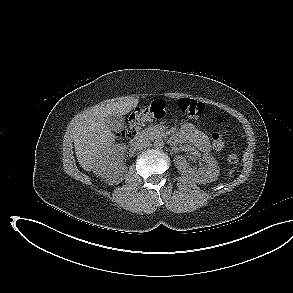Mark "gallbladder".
Listing matches in <instances>:
<instances>
[{
    "mask_svg": "<svg viewBox=\"0 0 293 293\" xmlns=\"http://www.w3.org/2000/svg\"><path fill=\"white\" fill-rule=\"evenodd\" d=\"M106 126L114 132L121 131L125 125V119L120 115H109L105 118Z\"/></svg>",
    "mask_w": 293,
    "mask_h": 293,
    "instance_id": "gallbladder-1",
    "label": "gallbladder"
}]
</instances>
